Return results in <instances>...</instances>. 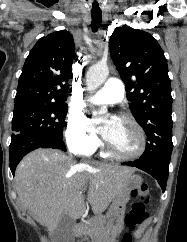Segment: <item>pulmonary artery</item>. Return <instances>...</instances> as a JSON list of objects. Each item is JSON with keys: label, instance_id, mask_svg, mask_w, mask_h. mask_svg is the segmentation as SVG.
Returning a JSON list of instances; mask_svg holds the SVG:
<instances>
[{"label": "pulmonary artery", "instance_id": "obj_1", "mask_svg": "<svg viewBox=\"0 0 187 242\" xmlns=\"http://www.w3.org/2000/svg\"><path fill=\"white\" fill-rule=\"evenodd\" d=\"M123 97V83L117 78H110L99 91L89 98V101L94 104H115L120 102Z\"/></svg>", "mask_w": 187, "mask_h": 242}]
</instances>
